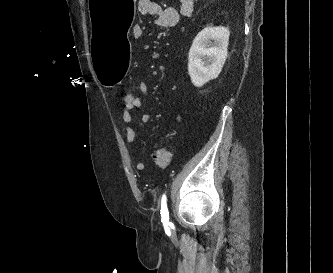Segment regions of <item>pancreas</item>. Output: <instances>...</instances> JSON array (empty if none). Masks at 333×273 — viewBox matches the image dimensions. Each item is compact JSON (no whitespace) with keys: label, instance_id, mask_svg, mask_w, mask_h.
Listing matches in <instances>:
<instances>
[{"label":"pancreas","instance_id":"pancreas-1","mask_svg":"<svg viewBox=\"0 0 333 273\" xmlns=\"http://www.w3.org/2000/svg\"><path fill=\"white\" fill-rule=\"evenodd\" d=\"M181 3H182L180 10L181 15L190 17L193 12L194 0H181Z\"/></svg>","mask_w":333,"mask_h":273}]
</instances>
